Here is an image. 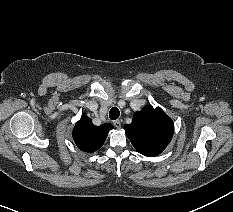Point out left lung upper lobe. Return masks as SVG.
Listing matches in <instances>:
<instances>
[{"label": "left lung upper lobe", "instance_id": "1", "mask_svg": "<svg viewBox=\"0 0 233 212\" xmlns=\"http://www.w3.org/2000/svg\"><path fill=\"white\" fill-rule=\"evenodd\" d=\"M124 130L139 153L154 157L170 143L174 124L161 108L147 105L134 114L132 123L125 125Z\"/></svg>", "mask_w": 233, "mask_h": 212}]
</instances>
